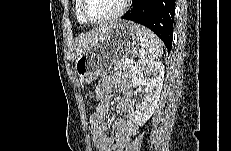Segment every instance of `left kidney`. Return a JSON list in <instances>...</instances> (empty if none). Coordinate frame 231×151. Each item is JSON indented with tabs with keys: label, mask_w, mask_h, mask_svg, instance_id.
Here are the masks:
<instances>
[{
	"label": "left kidney",
	"mask_w": 231,
	"mask_h": 151,
	"mask_svg": "<svg viewBox=\"0 0 231 151\" xmlns=\"http://www.w3.org/2000/svg\"><path fill=\"white\" fill-rule=\"evenodd\" d=\"M164 80V66L153 60H139L132 71L133 87L145 86V98L142 105L135 106V120L138 125H144L157 108ZM135 105V100H133Z\"/></svg>",
	"instance_id": "1"
}]
</instances>
